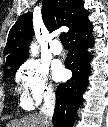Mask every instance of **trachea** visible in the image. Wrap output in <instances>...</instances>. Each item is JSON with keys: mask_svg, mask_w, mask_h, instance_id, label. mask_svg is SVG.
Masks as SVG:
<instances>
[{"mask_svg": "<svg viewBox=\"0 0 108 127\" xmlns=\"http://www.w3.org/2000/svg\"><path fill=\"white\" fill-rule=\"evenodd\" d=\"M59 38L63 45H68L67 35L65 32H62Z\"/></svg>", "mask_w": 108, "mask_h": 127, "instance_id": "trachea-1", "label": "trachea"}]
</instances>
